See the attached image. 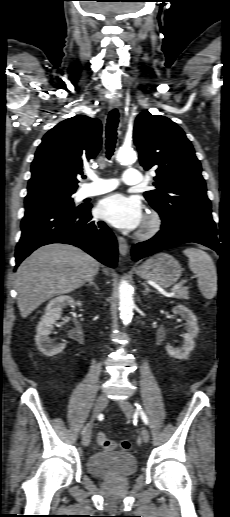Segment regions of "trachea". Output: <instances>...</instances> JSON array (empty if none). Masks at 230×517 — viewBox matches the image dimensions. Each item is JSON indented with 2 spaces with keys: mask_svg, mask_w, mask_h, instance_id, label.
Listing matches in <instances>:
<instances>
[{
  "mask_svg": "<svg viewBox=\"0 0 230 517\" xmlns=\"http://www.w3.org/2000/svg\"><path fill=\"white\" fill-rule=\"evenodd\" d=\"M119 122V113L117 109L110 111L107 124H106V154L107 158L110 159L113 155L116 139H117V126Z\"/></svg>",
  "mask_w": 230,
  "mask_h": 517,
  "instance_id": "3493384b",
  "label": "trachea"
}]
</instances>
